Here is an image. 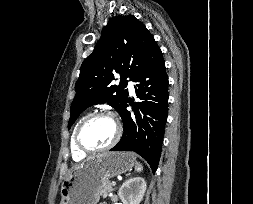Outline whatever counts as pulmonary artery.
Returning <instances> with one entry per match:
<instances>
[{
  "mask_svg": "<svg viewBox=\"0 0 253 204\" xmlns=\"http://www.w3.org/2000/svg\"><path fill=\"white\" fill-rule=\"evenodd\" d=\"M128 88H129V93L132 95L134 94V86L132 84V82H128Z\"/></svg>",
  "mask_w": 253,
  "mask_h": 204,
  "instance_id": "e3ab8cb5",
  "label": "pulmonary artery"
}]
</instances>
